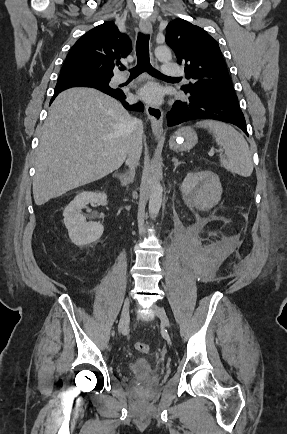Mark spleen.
Here are the masks:
<instances>
[{
	"mask_svg": "<svg viewBox=\"0 0 287 434\" xmlns=\"http://www.w3.org/2000/svg\"><path fill=\"white\" fill-rule=\"evenodd\" d=\"M197 127L208 129L217 145L225 151L220 158L221 165L233 174L249 177L253 172V161L248 143L241 133L231 125L215 120H203Z\"/></svg>",
	"mask_w": 287,
	"mask_h": 434,
	"instance_id": "3e777b00",
	"label": "spleen"
}]
</instances>
